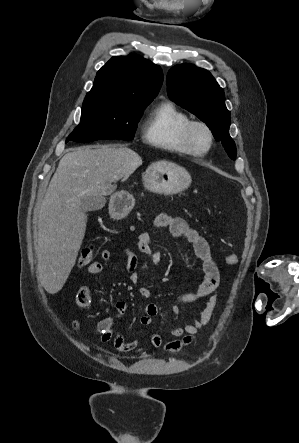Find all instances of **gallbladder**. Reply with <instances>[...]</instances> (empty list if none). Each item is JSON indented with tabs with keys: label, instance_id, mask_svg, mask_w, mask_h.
Segmentation results:
<instances>
[{
	"label": "gallbladder",
	"instance_id": "bac80fb5",
	"mask_svg": "<svg viewBox=\"0 0 299 443\" xmlns=\"http://www.w3.org/2000/svg\"><path fill=\"white\" fill-rule=\"evenodd\" d=\"M105 198L103 196H83L80 199V210L87 212V211H97L104 207L105 205Z\"/></svg>",
	"mask_w": 299,
	"mask_h": 443
}]
</instances>
